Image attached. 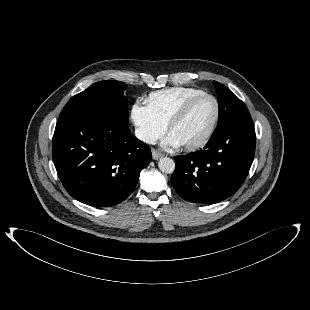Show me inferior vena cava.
<instances>
[{
    "mask_svg": "<svg viewBox=\"0 0 310 310\" xmlns=\"http://www.w3.org/2000/svg\"><path fill=\"white\" fill-rule=\"evenodd\" d=\"M135 136L139 140H142L143 142L148 143V144H155L157 141L156 135L150 132H147L142 128L135 129Z\"/></svg>",
    "mask_w": 310,
    "mask_h": 310,
    "instance_id": "602c4592",
    "label": "inferior vena cava"
}]
</instances>
